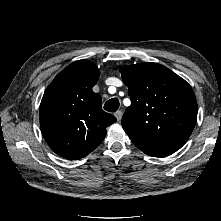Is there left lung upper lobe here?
I'll return each mask as SVG.
<instances>
[{
	"mask_svg": "<svg viewBox=\"0 0 221 221\" xmlns=\"http://www.w3.org/2000/svg\"><path fill=\"white\" fill-rule=\"evenodd\" d=\"M120 72L131 97L122 126L133 144L149 156L176 152L187 141L197 118L190 85L157 63L123 66Z\"/></svg>",
	"mask_w": 221,
	"mask_h": 221,
	"instance_id": "1",
	"label": "left lung upper lobe"
}]
</instances>
